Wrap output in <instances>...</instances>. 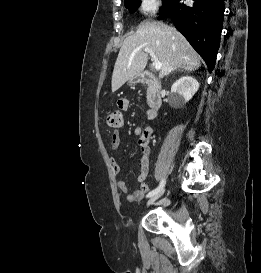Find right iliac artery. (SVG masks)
<instances>
[{
    "label": "right iliac artery",
    "mask_w": 261,
    "mask_h": 273,
    "mask_svg": "<svg viewBox=\"0 0 261 273\" xmlns=\"http://www.w3.org/2000/svg\"><path fill=\"white\" fill-rule=\"evenodd\" d=\"M165 186V179H162L159 186L157 188H155L154 190L150 191L147 194V197H151L153 196L155 193H157L158 191H160L163 187Z\"/></svg>",
    "instance_id": "right-iliac-artery-1"
}]
</instances>
